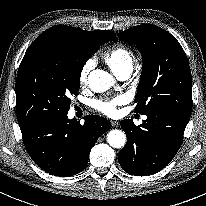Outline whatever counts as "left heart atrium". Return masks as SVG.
I'll list each match as a JSON object with an SVG mask.
<instances>
[{
    "label": "left heart atrium",
    "instance_id": "39dd6f15",
    "mask_svg": "<svg viewBox=\"0 0 206 206\" xmlns=\"http://www.w3.org/2000/svg\"><path fill=\"white\" fill-rule=\"evenodd\" d=\"M127 100L128 97L123 94L109 100H98L94 106L99 112L112 117L119 113L118 107L125 104Z\"/></svg>",
    "mask_w": 206,
    "mask_h": 206
}]
</instances>
